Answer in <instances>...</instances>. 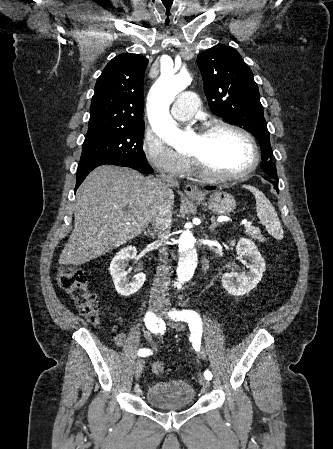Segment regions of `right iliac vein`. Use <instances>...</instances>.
Instances as JSON below:
<instances>
[{
  "label": "right iliac vein",
  "instance_id": "63e3f726",
  "mask_svg": "<svg viewBox=\"0 0 333 449\" xmlns=\"http://www.w3.org/2000/svg\"><path fill=\"white\" fill-rule=\"evenodd\" d=\"M152 307L156 312H159L161 310V305L157 302H153ZM143 368H144V360L142 358H138L134 364V375L136 379H138L141 376Z\"/></svg>",
  "mask_w": 333,
  "mask_h": 449
}]
</instances>
